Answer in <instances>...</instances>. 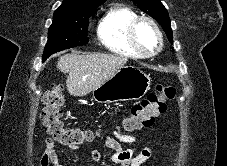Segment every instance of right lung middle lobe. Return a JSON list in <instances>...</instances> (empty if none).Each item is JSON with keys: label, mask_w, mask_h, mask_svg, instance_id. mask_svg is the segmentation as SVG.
Instances as JSON below:
<instances>
[{"label": "right lung middle lobe", "mask_w": 227, "mask_h": 166, "mask_svg": "<svg viewBox=\"0 0 227 166\" xmlns=\"http://www.w3.org/2000/svg\"><path fill=\"white\" fill-rule=\"evenodd\" d=\"M95 8L76 13H54L43 53V61L55 52L88 43L87 27L89 17Z\"/></svg>", "instance_id": "right-lung-middle-lobe-1"}]
</instances>
